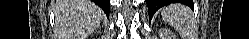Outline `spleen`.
<instances>
[{
  "instance_id": "1",
  "label": "spleen",
  "mask_w": 249,
  "mask_h": 39,
  "mask_svg": "<svg viewBox=\"0 0 249 39\" xmlns=\"http://www.w3.org/2000/svg\"><path fill=\"white\" fill-rule=\"evenodd\" d=\"M161 15L166 22L173 25L184 22L189 16V11L184 7L171 4L161 9Z\"/></svg>"
}]
</instances>
